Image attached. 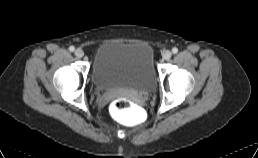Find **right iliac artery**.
<instances>
[{
  "mask_svg": "<svg viewBox=\"0 0 258 158\" xmlns=\"http://www.w3.org/2000/svg\"><path fill=\"white\" fill-rule=\"evenodd\" d=\"M69 50H70L71 52H73V51L75 50V47H74V46H70V47H69Z\"/></svg>",
  "mask_w": 258,
  "mask_h": 158,
  "instance_id": "82829eb1",
  "label": "right iliac artery"
}]
</instances>
